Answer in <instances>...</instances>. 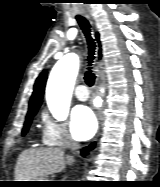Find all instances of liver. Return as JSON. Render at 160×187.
Instances as JSON below:
<instances>
[{
    "label": "liver",
    "mask_w": 160,
    "mask_h": 187,
    "mask_svg": "<svg viewBox=\"0 0 160 187\" xmlns=\"http://www.w3.org/2000/svg\"><path fill=\"white\" fill-rule=\"evenodd\" d=\"M74 162L72 156L64 155L60 148L29 149L17 160L15 181H31L61 172L65 165Z\"/></svg>",
    "instance_id": "obj_1"
}]
</instances>
